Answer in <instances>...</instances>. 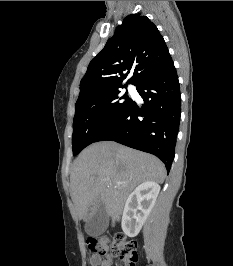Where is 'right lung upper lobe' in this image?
I'll return each mask as SVG.
<instances>
[{
  "mask_svg": "<svg viewBox=\"0 0 233 266\" xmlns=\"http://www.w3.org/2000/svg\"><path fill=\"white\" fill-rule=\"evenodd\" d=\"M170 58L157 27L146 16L128 15L102 51L90 62L80 82L78 100L126 87L129 83L137 86ZM130 70L133 76L122 86Z\"/></svg>",
  "mask_w": 233,
  "mask_h": 266,
  "instance_id": "right-lung-upper-lobe-1",
  "label": "right lung upper lobe"
}]
</instances>
